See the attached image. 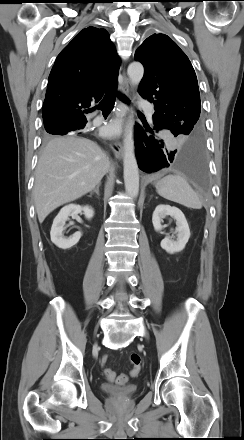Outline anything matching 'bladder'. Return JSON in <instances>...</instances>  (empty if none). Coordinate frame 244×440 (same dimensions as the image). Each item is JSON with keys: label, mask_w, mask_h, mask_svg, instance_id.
<instances>
[{"label": "bladder", "mask_w": 244, "mask_h": 440, "mask_svg": "<svg viewBox=\"0 0 244 440\" xmlns=\"http://www.w3.org/2000/svg\"><path fill=\"white\" fill-rule=\"evenodd\" d=\"M100 389L106 395L118 400L131 399L137 393V388L135 386L118 387L112 384H101Z\"/></svg>", "instance_id": "1"}]
</instances>
